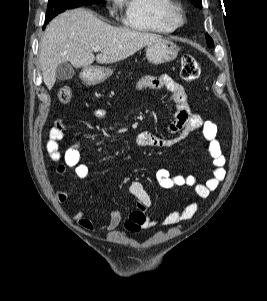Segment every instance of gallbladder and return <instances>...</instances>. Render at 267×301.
<instances>
[{"mask_svg": "<svg viewBox=\"0 0 267 301\" xmlns=\"http://www.w3.org/2000/svg\"><path fill=\"white\" fill-rule=\"evenodd\" d=\"M74 73L73 66L68 62H64L57 66L56 78L60 81L69 80L74 76Z\"/></svg>", "mask_w": 267, "mask_h": 301, "instance_id": "obj_1", "label": "gallbladder"}]
</instances>
